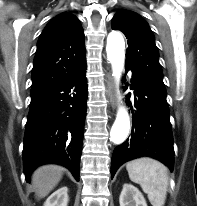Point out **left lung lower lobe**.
<instances>
[{
	"mask_svg": "<svg viewBox=\"0 0 197 206\" xmlns=\"http://www.w3.org/2000/svg\"><path fill=\"white\" fill-rule=\"evenodd\" d=\"M126 70H130L126 68ZM134 106L131 136L114 149L111 178L126 161L149 156L173 170L174 149L166 94L132 72Z\"/></svg>",
	"mask_w": 197,
	"mask_h": 206,
	"instance_id": "0a47b994",
	"label": "left lung lower lobe"
}]
</instances>
